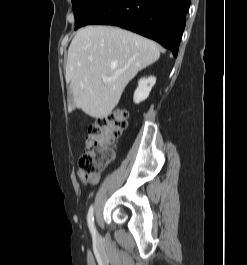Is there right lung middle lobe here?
I'll return each mask as SVG.
<instances>
[{
	"label": "right lung middle lobe",
	"mask_w": 247,
	"mask_h": 265,
	"mask_svg": "<svg viewBox=\"0 0 247 265\" xmlns=\"http://www.w3.org/2000/svg\"><path fill=\"white\" fill-rule=\"evenodd\" d=\"M97 1L98 0H72L76 23L82 19V17Z\"/></svg>",
	"instance_id": "right-lung-middle-lobe-1"
}]
</instances>
